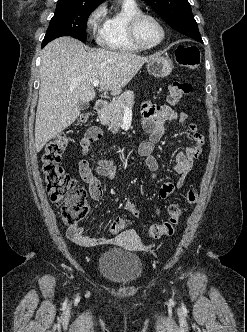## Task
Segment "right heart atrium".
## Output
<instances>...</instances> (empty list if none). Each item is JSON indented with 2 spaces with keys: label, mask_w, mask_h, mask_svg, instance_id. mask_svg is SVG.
Here are the masks:
<instances>
[{
  "label": "right heart atrium",
  "mask_w": 247,
  "mask_h": 332,
  "mask_svg": "<svg viewBox=\"0 0 247 332\" xmlns=\"http://www.w3.org/2000/svg\"><path fill=\"white\" fill-rule=\"evenodd\" d=\"M106 7L104 4L97 6L87 19V27L97 41H101L105 24Z\"/></svg>",
  "instance_id": "d8ad5b80"
}]
</instances>
